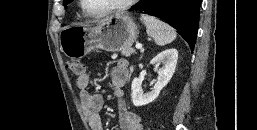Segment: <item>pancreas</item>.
<instances>
[{"mask_svg":"<svg viewBox=\"0 0 257 130\" xmlns=\"http://www.w3.org/2000/svg\"><path fill=\"white\" fill-rule=\"evenodd\" d=\"M133 53H135V50L131 48L121 50V54L126 57H129Z\"/></svg>","mask_w":257,"mask_h":130,"instance_id":"cf45deb5","label":"pancreas"}]
</instances>
